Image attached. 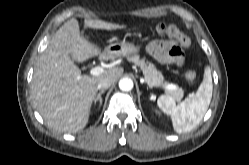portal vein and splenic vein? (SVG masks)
I'll list each match as a JSON object with an SVG mask.
<instances>
[{
	"label": "portal vein and splenic vein",
	"mask_w": 249,
	"mask_h": 165,
	"mask_svg": "<svg viewBox=\"0 0 249 165\" xmlns=\"http://www.w3.org/2000/svg\"><path fill=\"white\" fill-rule=\"evenodd\" d=\"M104 71L105 69L103 67L96 66L90 70V74L93 76H97V75L104 73ZM162 88L165 90H174L176 89V85L168 84V85L163 86Z\"/></svg>",
	"instance_id": "1"
}]
</instances>
